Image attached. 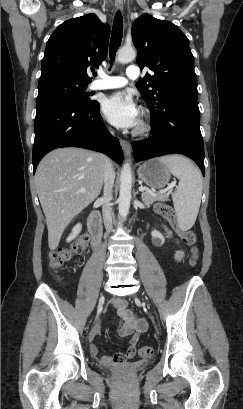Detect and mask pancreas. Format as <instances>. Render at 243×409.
<instances>
[{"mask_svg":"<svg viewBox=\"0 0 243 409\" xmlns=\"http://www.w3.org/2000/svg\"><path fill=\"white\" fill-rule=\"evenodd\" d=\"M166 196L164 194H156L150 190H146L142 193V201L146 206H150L155 201H164Z\"/></svg>","mask_w":243,"mask_h":409,"instance_id":"1","label":"pancreas"}]
</instances>
